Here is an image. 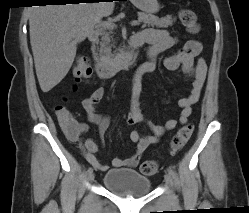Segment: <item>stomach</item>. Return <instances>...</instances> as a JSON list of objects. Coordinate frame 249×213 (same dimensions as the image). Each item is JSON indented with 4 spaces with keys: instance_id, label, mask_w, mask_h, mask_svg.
I'll use <instances>...</instances> for the list:
<instances>
[{
    "instance_id": "0dacf381",
    "label": "stomach",
    "mask_w": 249,
    "mask_h": 213,
    "mask_svg": "<svg viewBox=\"0 0 249 213\" xmlns=\"http://www.w3.org/2000/svg\"><path fill=\"white\" fill-rule=\"evenodd\" d=\"M131 2L141 11L152 14L159 11L158 0H131Z\"/></svg>"
}]
</instances>
